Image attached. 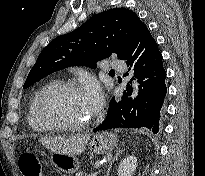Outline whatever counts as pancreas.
<instances>
[{
    "label": "pancreas",
    "mask_w": 205,
    "mask_h": 176,
    "mask_svg": "<svg viewBox=\"0 0 205 176\" xmlns=\"http://www.w3.org/2000/svg\"><path fill=\"white\" fill-rule=\"evenodd\" d=\"M75 176H82V174L81 173H77Z\"/></svg>",
    "instance_id": "cf45deb5"
}]
</instances>
